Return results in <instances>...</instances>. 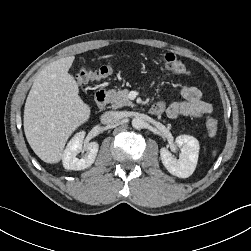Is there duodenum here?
<instances>
[{"label":"duodenum","mask_w":251,"mask_h":251,"mask_svg":"<svg viewBox=\"0 0 251 251\" xmlns=\"http://www.w3.org/2000/svg\"><path fill=\"white\" fill-rule=\"evenodd\" d=\"M95 101L99 108H104L108 103V90L106 88L99 89L95 94ZM149 112L153 115L160 113V108L157 105L150 107Z\"/></svg>","instance_id":"obj_1"}]
</instances>
